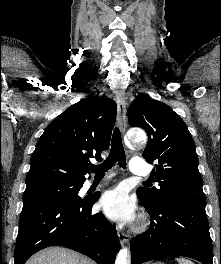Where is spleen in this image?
I'll return each mask as SVG.
<instances>
[{"mask_svg":"<svg viewBox=\"0 0 221 264\" xmlns=\"http://www.w3.org/2000/svg\"><path fill=\"white\" fill-rule=\"evenodd\" d=\"M176 261L179 264H194L191 260L185 258H177Z\"/></svg>","mask_w":221,"mask_h":264,"instance_id":"obj_1","label":"spleen"}]
</instances>
